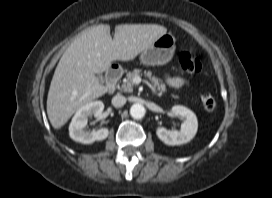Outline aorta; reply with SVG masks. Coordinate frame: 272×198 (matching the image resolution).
Instances as JSON below:
<instances>
[{
    "instance_id": "aorta-1",
    "label": "aorta",
    "mask_w": 272,
    "mask_h": 198,
    "mask_svg": "<svg viewBox=\"0 0 272 198\" xmlns=\"http://www.w3.org/2000/svg\"><path fill=\"white\" fill-rule=\"evenodd\" d=\"M130 115L134 119H142L145 115V108L141 104H133L130 108Z\"/></svg>"
}]
</instances>
